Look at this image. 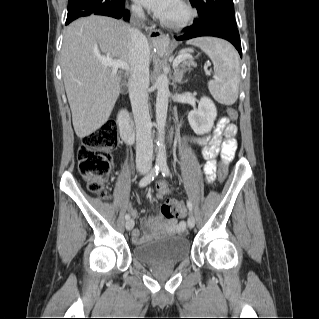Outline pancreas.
I'll return each instance as SVG.
<instances>
[{"label": "pancreas", "instance_id": "obj_1", "mask_svg": "<svg viewBox=\"0 0 319 319\" xmlns=\"http://www.w3.org/2000/svg\"><path fill=\"white\" fill-rule=\"evenodd\" d=\"M184 71L190 70L191 66H196V63L193 60H183L182 64L180 65Z\"/></svg>", "mask_w": 319, "mask_h": 319}]
</instances>
